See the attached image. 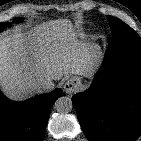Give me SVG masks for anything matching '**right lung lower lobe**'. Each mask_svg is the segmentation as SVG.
<instances>
[{
	"instance_id": "right-lung-lower-lobe-1",
	"label": "right lung lower lobe",
	"mask_w": 141,
	"mask_h": 141,
	"mask_svg": "<svg viewBox=\"0 0 141 141\" xmlns=\"http://www.w3.org/2000/svg\"><path fill=\"white\" fill-rule=\"evenodd\" d=\"M63 95L56 89L16 103L0 92V141H42L50 109Z\"/></svg>"
}]
</instances>
